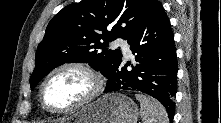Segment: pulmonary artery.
Listing matches in <instances>:
<instances>
[{"instance_id": "obj_1", "label": "pulmonary artery", "mask_w": 221, "mask_h": 123, "mask_svg": "<svg viewBox=\"0 0 221 123\" xmlns=\"http://www.w3.org/2000/svg\"><path fill=\"white\" fill-rule=\"evenodd\" d=\"M114 44L116 47H120L125 55H130L131 51L128 43L125 40L117 39Z\"/></svg>"}]
</instances>
